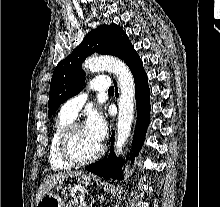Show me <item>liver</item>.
I'll use <instances>...</instances> for the list:
<instances>
[{
	"mask_svg": "<svg viewBox=\"0 0 220 207\" xmlns=\"http://www.w3.org/2000/svg\"><path fill=\"white\" fill-rule=\"evenodd\" d=\"M83 172L82 171H75V172H58L54 173L51 175L46 176L44 178L43 182L41 183L37 195H36V203H38L43 196L48 194L51 189L61 181L72 178V177H77L81 175Z\"/></svg>",
	"mask_w": 220,
	"mask_h": 207,
	"instance_id": "obj_1",
	"label": "liver"
}]
</instances>
